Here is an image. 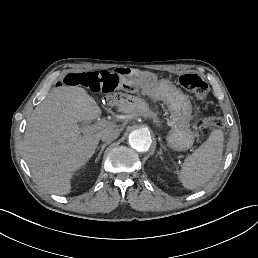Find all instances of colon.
<instances>
[{
  "mask_svg": "<svg viewBox=\"0 0 258 258\" xmlns=\"http://www.w3.org/2000/svg\"><path fill=\"white\" fill-rule=\"evenodd\" d=\"M180 84L191 91L197 100L205 102L208 97V85L202 78L194 73L184 74L179 79ZM62 84L67 86H80L95 93L111 94L117 90H131L130 83L121 81L114 70H102L82 73H69L62 78ZM217 124L218 120L212 119Z\"/></svg>",
  "mask_w": 258,
  "mask_h": 258,
  "instance_id": "obj_1",
  "label": "colon"
}]
</instances>
